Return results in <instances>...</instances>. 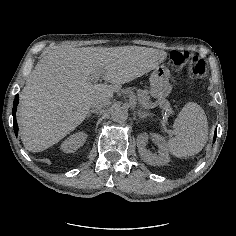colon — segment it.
<instances>
[{"instance_id":"5ec220e1","label":"colon","mask_w":236,"mask_h":236,"mask_svg":"<svg viewBox=\"0 0 236 236\" xmlns=\"http://www.w3.org/2000/svg\"><path fill=\"white\" fill-rule=\"evenodd\" d=\"M170 61L175 69H187L191 79H202L207 75L206 62L199 55L188 50H174L170 53Z\"/></svg>"}]
</instances>
